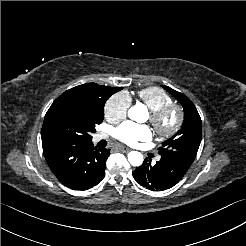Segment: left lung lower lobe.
I'll return each mask as SVG.
<instances>
[{"label": "left lung lower lobe", "mask_w": 246, "mask_h": 246, "mask_svg": "<svg viewBox=\"0 0 246 246\" xmlns=\"http://www.w3.org/2000/svg\"><path fill=\"white\" fill-rule=\"evenodd\" d=\"M186 172L180 165L161 156L156 164H151V159L146 158L143 164L133 171V176L141 186L152 191H161L177 184Z\"/></svg>", "instance_id": "0a47b994"}]
</instances>
